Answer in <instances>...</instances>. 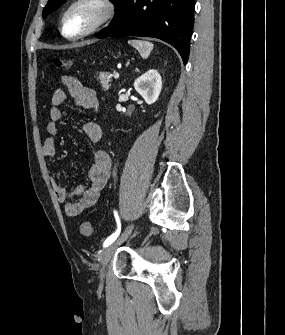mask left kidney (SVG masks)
Listing matches in <instances>:
<instances>
[{
	"label": "left kidney",
	"instance_id": "obj_1",
	"mask_svg": "<svg viewBox=\"0 0 285 335\" xmlns=\"http://www.w3.org/2000/svg\"><path fill=\"white\" fill-rule=\"evenodd\" d=\"M134 88L144 98L146 104H154L162 90L161 76L157 70H148L135 80Z\"/></svg>",
	"mask_w": 285,
	"mask_h": 335
}]
</instances>
